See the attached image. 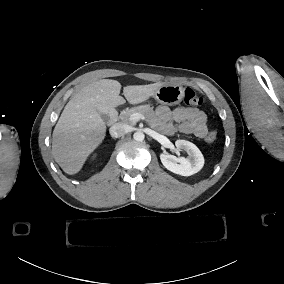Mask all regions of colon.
<instances>
[{
  "mask_svg": "<svg viewBox=\"0 0 284 284\" xmlns=\"http://www.w3.org/2000/svg\"><path fill=\"white\" fill-rule=\"evenodd\" d=\"M184 102L186 105L201 106L204 104V98L198 95L193 89L187 88L185 91ZM216 140V134L211 132L207 134L206 141L212 143Z\"/></svg>",
  "mask_w": 284,
  "mask_h": 284,
  "instance_id": "obj_1",
  "label": "colon"
}]
</instances>
